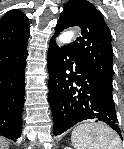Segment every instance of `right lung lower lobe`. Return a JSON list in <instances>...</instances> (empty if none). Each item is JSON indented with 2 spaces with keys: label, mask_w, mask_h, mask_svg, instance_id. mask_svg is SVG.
<instances>
[{
  "label": "right lung lower lobe",
  "mask_w": 124,
  "mask_h": 149,
  "mask_svg": "<svg viewBox=\"0 0 124 149\" xmlns=\"http://www.w3.org/2000/svg\"><path fill=\"white\" fill-rule=\"evenodd\" d=\"M26 47L0 48V135L14 141L22 132Z\"/></svg>",
  "instance_id": "right-lung-lower-lobe-1"
}]
</instances>
